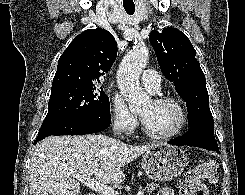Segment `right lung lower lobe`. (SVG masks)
Masks as SVG:
<instances>
[{
    "mask_svg": "<svg viewBox=\"0 0 245 195\" xmlns=\"http://www.w3.org/2000/svg\"><path fill=\"white\" fill-rule=\"evenodd\" d=\"M111 116L109 112L102 111L69 121L53 130L38 134L34 144L51 135H78L100 132L109 127Z\"/></svg>",
    "mask_w": 245,
    "mask_h": 195,
    "instance_id": "1",
    "label": "right lung lower lobe"
}]
</instances>
